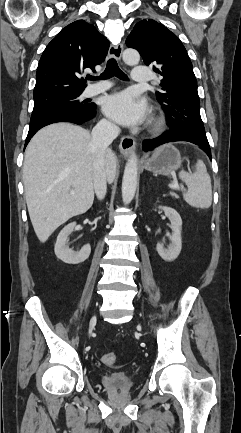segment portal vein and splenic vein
Returning <instances> with one entry per match:
<instances>
[{"mask_svg":"<svg viewBox=\"0 0 241 433\" xmlns=\"http://www.w3.org/2000/svg\"><path fill=\"white\" fill-rule=\"evenodd\" d=\"M169 188L173 189V190H179V189H183V186H179L178 183H173L169 185ZM71 194H74V190L70 191Z\"/></svg>","mask_w":241,"mask_h":433,"instance_id":"portal-vein-and-splenic-vein-1","label":"portal vein and splenic vein"}]
</instances>
